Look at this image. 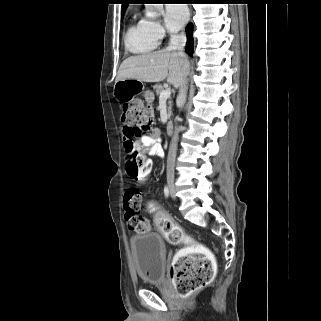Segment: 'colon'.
I'll list each match as a JSON object with an SVG mask.
<instances>
[{
	"label": "colon",
	"instance_id": "obj_1",
	"mask_svg": "<svg viewBox=\"0 0 321 321\" xmlns=\"http://www.w3.org/2000/svg\"><path fill=\"white\" fill-rule=\"evenodd\" d=\"M151 112L140 100L123 104L122 122L133 137H139L151 124ZM128 175L140 180L151 170V161L138 152L126 156ZM141 194L136 188H128L124 195L125 219L130 230L145 233L150 229L148 219L140 215ZM150 211L155 212V223L166 240L174 245H184L172 263L171 278L177 291L187 296L212 281L215 262L210 251L197 243L183 228L165 213L159 211L153 202H148Z\"/></svg>",
	"mask_w": 321,
	"mask_h": 321
}]
</instances>
